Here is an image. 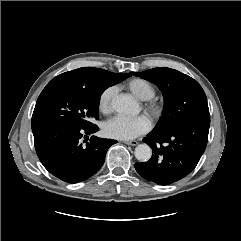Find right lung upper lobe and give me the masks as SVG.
<instances>
[{
  "mask_svg": "<svg viewBox=\"0 0 241 241\" xmlns=\"http://www.w3.org/2000/svg\"><path fill=\"white\" fill-rule=\"evenodd\" d=\"M104 76H114L120 79H126L130 77V74H116L104 69L84 67L76 70L68 71L56 76L54 79H61L66 81L75 82L78 84L92 85L96 83L100 78Z\"/></svg>",
  "mask_w": 241,
  "mask_h": 241,
  "instance_id": "obj_1",
  "label": "right lung upper lobe"
}]
</instances>
